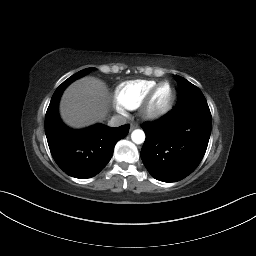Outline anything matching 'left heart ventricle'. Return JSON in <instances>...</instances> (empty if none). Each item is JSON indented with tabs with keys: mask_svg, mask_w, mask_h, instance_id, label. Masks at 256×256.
Segmentation results:
<instances>
[{
	"mask_svg": "<svg viewBox=\"0 0 256 256\" xmlns=\"http://www.w3.org/2000/svg\"><path fill=\"white\" fill-rule=\"evenodd\" d=\"M170 94L171 89L168 85L161 87L154 98V105L157 107L163 106L168 101Z\"/></svg>",
	"mask_w": 256,
	"mask_h": 256,
	"instance_id": "obj_1",
	"label": "left heart ventricle"
}]
</instances>
